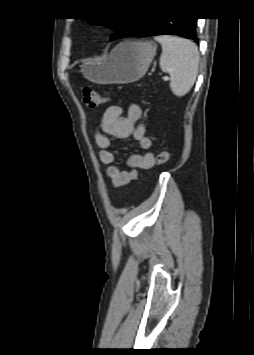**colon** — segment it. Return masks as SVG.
Segmentation results:
<instances>
[{
	"mask_svg": "<svg viewBox=\"0 0 254 355\" xmlns=\"http://www.w3.org/2000/svg\"><path fill=\"white\" fill-rule=\"evenodd\" d=\"M83 94L84 102L90 108L102 106L109 102L108 97L93 90L92 88H84ZM168 159L169 154L166 151H160L156 158V165L163 166L168 162Z\"/></svg>",
	"mask_w": 254,
	"mask_h": 355,
	"instance_id": "obj_1",
	"label": "colon"
}]
</instances>
